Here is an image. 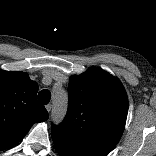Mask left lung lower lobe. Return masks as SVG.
Here are the masks:
<instances>
[{"label":"left lung lower lobe","instance_id":"left-lung-lower-lobe-1","mask_svg":"<svg viewBox=\"0 0 156 156\" xmlns=\"http://www.w3.org/2000/svg\"><path fill=\"white\" fill-rule=\"evenodd\" d=\"M56 149L61 156H98L96 154L87 152L81 148H77L63 139L52 136Z\"/></svg>","mask_w":156,"mask_h":156}]
</instances>
